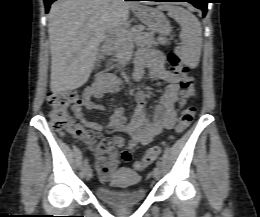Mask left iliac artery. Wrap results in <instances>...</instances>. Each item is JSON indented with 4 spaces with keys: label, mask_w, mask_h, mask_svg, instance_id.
Returning a JSON list of instances; mask_svg holds the SVG:
<instances>
[{
    "label": "left iliac artery",
    "mask_w": 260,
    "mask_h": 217,
    "mask_svg": "<svg viewBox=\"0 0 260 217\" xmlns=\"http://www.w3.org/2000/svg\"><path fill=\"white\" fill-rule=\"evenodd\" d=\"M156 165H157L158 167H161V162L158 160V161L156 162Z\"/></svg>",
    "instance_id": "1"
}]
</instances>
